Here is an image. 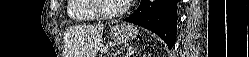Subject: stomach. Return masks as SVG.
I'll return each mask as SVG.
<instances>
[{
	"label": "stomach",
	"instance_id": "0dacf381",
	"mask_svg": "<svg viewBox=\"0 0 249 57\" xmlns=\"http://www.w3.org/2000/svg\"><path fill=\"white\" fill-rule=\"evenodd\" d=\"M138 34V30L135 26L130 24H116L114 25L109 35L113 41L119 44H126L131 39H134Z\"/></svg>",
	"mask_w": 249,
	"mask_h": 57
}]
</instances>
